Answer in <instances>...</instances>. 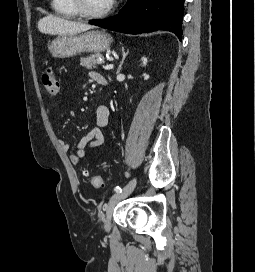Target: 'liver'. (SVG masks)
Instances as JSON below:
<instances>
[{
	"label": "liver",
	"instance_id": "6515ba94",
	"mask_svg": "<svg viewBox=\"0 0 255 272\" xmlns=\"http://www.w3.org/2000/svg\"><path fill=\"white\" fill-rule=\"evenodd\" d=\"M91 28H93L91 25L69 21L51 14L43 17L38 22V30L41 33L50 35H74Z\"/></svg>",
	"mask_w": 255,
	"mask_h": 272
}]
</instances>
